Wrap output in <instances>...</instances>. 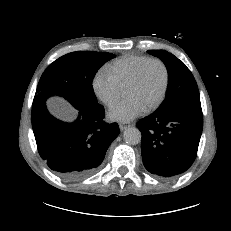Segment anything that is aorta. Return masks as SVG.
I'll use <instances>...</instances> for the list:
<instances>
[{
	"label": "aorta",
	"mask_w": 231,
	"mask_h": 231,
	"mask_svg": "<svg viewBox=\"0 0 231 231\" xmlns=\"http://www.w3.org/2000/svg\"><path fill=\"white\" fill-rule=\"evenodd\" d=\"M141 132L136 127H128L123 133V139L128 145H136L141 141Z\"/></svg>",
	"instance_id": "obj_1"
}]
</instances>
